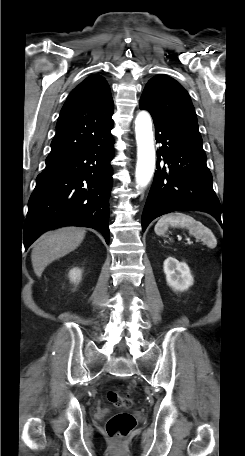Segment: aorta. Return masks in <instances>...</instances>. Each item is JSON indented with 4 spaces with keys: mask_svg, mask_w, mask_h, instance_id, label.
<instances>
[{
    "mask_svg": "<svg viewBox=\"0 0 245 456\" xmlns=\"http://www.w3.org/2000/svg\"><path fill=\"white\" fill-rule=\"evenodd\" d=\"M135 133L137 143L135 181L137 188H144L150 182L155 169L154 137L148 112L138 113L135 119Z\"/></svg>",
    "mask_w": 245,
    "mask_h": 456,
    "instance_id": "aorta-1",
    "label": "aorta"
}]
</instances>
